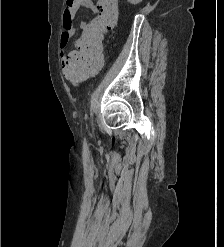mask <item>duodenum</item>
<instances>
[{
  "mask_svg": "<svg viewBox=\"0 0 224 247\" xmlns=\"http://www.w3.org/2000/svg\"><path fill=\"white\" fill-rule=\"evenodd\" d=\"M82 48H83V49H86V45H85L84 43H83V45H82Z\"/></svg>",
  "mask_w": 224,
  "mask_h": 247,
  "instance_id": "410a0bca",
  "label": "duodenum"
}]
</instances>
